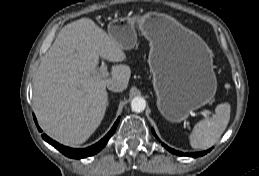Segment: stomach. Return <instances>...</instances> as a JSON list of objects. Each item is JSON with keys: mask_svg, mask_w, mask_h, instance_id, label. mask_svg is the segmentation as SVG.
Returning a JSON list of instances; mask_svg holds the SVG:
<instances>
[{"mask_svg": "<svg viewBox=\"0 0 259 176\" xmlns=\"http://www.w3.org/2000/svg\"><path fill=\"white\" fill-rule=\"evenodd\" d=\"M136 27L150 43L148 63L160 113L169 121L180 122L190 111L210 103L216 81L202 45L168 15L149 12L115 19L109 33L123 48L137 39Z\"/></svg>", "mask_w": 259, "mask_h": 176, "instance_id": "1", "label": "stomach"}]
</instances>
